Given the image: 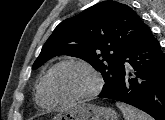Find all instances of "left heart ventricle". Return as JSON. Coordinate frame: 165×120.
Returning a JSON list of instances; mask_svg holds the SVG:
<instances>
[{"instance_id":"1","label":"left heart ventricle","mask_w":165,"mask_h":120,"mask_svg":"<svg viewBox=\"0 0 165 120\" xmlns=\"http://www.w3.org/2000/svg\"><path fill=\"white\" fill-rule=\"evenodd\" d=\"M52 92L60 99H70L89 91L94 84L92 75L78 65L57 68L49 81Z\"/></svg>"}]
</instances>
